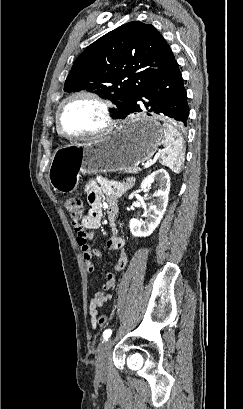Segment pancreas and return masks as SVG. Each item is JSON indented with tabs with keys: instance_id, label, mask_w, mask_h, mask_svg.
<instances>
[{
	"instance_id": "1",
	"label": "pancreas",
	"mask_w": 243,
	"mask_h": 409,
	"mask_svg": "<svg viewBox=\"0 0 243 409\" xmlns=\"http://www.w3.org/2000/svg\"><path fill=\"white\" fill-rule=\"evenodd\" d=\"M140 171H141V169L138 168V167L125 170L126 173H133V174H137V173H139Z\"/></svg>"
}]
</instances>
